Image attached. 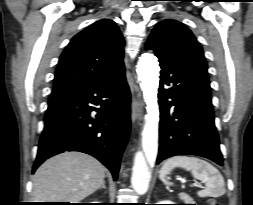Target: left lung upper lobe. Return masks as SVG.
<instances>
[{
  "instance_id": "5c2ea615",
  "label": "left lung upper lobe",
  "mask_w": 253,
  "mask_h": 205,
  "mask_svg": "<svg viewBox=\"0 0 253 205\" xmlns=\"http://www.w3.org/2000/svg\"><path fill=\"white\" fill-rule=\"evenodd\" d=\"M146 45L187 64L209 82L203 49L182 23L173 19L160 22L153 29Z\"/></svg>"
}]
</instances>
